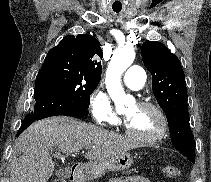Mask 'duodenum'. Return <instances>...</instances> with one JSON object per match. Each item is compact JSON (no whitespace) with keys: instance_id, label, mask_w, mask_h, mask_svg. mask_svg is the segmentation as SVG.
Returning a JSON list of instances; mask_svg holds the SVG:
<instances>
[{"instance_id":"410a0bca","label":"duodenum","mask_w":211,"mask_h":182,"mask_svg":"<svg viewBox=\"0 0 211 182\" xmlns=\"http://www.w3.org/2000/svg\"><path fill=\"white\" fill-rule=\"evenodd\" d=\"M81 179V169L79 167H73L71 170L70 181L79 182Z\"/></svg>"}]
</instances>
